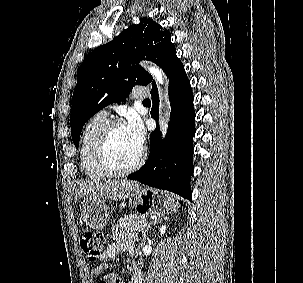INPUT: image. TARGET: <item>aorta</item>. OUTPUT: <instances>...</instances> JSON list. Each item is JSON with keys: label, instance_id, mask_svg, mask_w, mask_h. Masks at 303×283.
Listing matches in <instances>:
<instances>
[{"label": "aorta", "instance_id": "aorta-1", "mask_svg": "<svg viewBox=\"0 0 303 283\" xmlns=\"http://www.w3.org/2000/svg\"><path fill=\"white\" fill-rule=\"evenodd\" d=\"M146 67V66H145ZM147 70L153 75L159 84H163V72L157 66H147Z\"/></svg>", "mask_w": 303, "mask_h": 283}]
</instances>
